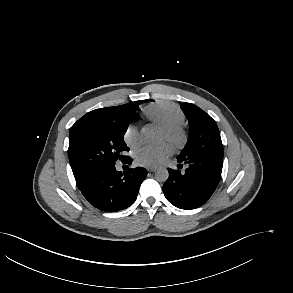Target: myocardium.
<instances>
[{"mask_svg":"<svg viewBox=\"0 0 293 293\" xmlns=\"http://www.w3.org/2000/svg\"><path fill=\"white\" fill-rule=\"evenodd\" d=\"M167 140L176 148L182 149L188 141V132L183 124L163 127Z\"/></svg>","mask_w":293,"mask_h":293,"instance_id":"f54148a6","label":"myocardium"}]
</instances>
